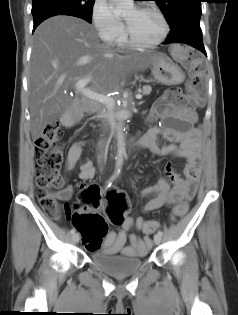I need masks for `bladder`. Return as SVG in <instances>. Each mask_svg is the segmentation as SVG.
Returning <instances> with one entry per match:
<instances>
[{
    "instance_id": "obj_1",
    "label": "bladder",
    "mask_w": 238,
    "mask_h": 315,
    "mask_svg": "<svg viewBox=\"0 0 238 315\" xmlns=\"http://www.w3.org/2000/svg\"><path fill=\"white\" fill-rule=\"evenodd\" d=\"M91 262L112 276L122 277L137 272L144 264L143 258H131L124 255H112L106 252L93 251Z\"/></svg>"
}]
</instances>
